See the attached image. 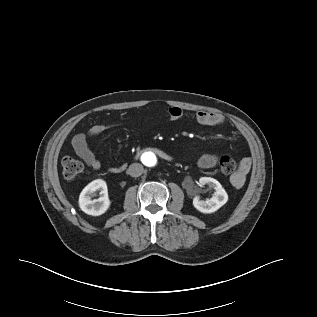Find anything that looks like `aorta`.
I'll use <instances>...</instances> for the list:
<instances>
[{
	"label": "aorta",
	"instance_id": "762f6f07",
	"mask_svg": "<svg viewBox=\"0 0 317 317\" xmlns=\"http://www.w3.org/2000/svg\"><path fill=\"white\" fill-rule=\"evenodd\" d=\"M142 162L147 167H153L157 164V157L153 152H146L142 155Z\"/></svg>",
	"mask_w": 317,
	"mask_h": 317
}]
</instances>
